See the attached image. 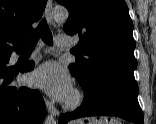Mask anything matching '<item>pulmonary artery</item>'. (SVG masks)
<instances>
[{
  "instance_id": "pulmonary-artery-1",
  "label": "pulmonary artery",
  "mask_w": 156,
  "mask_h": 124,
  "mask_svg": "<svg viewBox=\"0 0 156 124\" xmlns=\"http://www.w3.org/2000/svg\"><path fill=\"white\" fill-rule=\"evenodd\" d=\"M56 44L60 48H66L72 45V40L64 35H58L56 37Z\"/></svg>"
}]
</instances>
